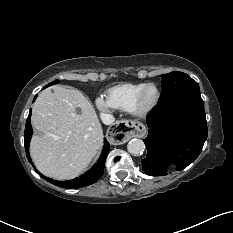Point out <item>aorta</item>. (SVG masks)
Masks as SVG:
<instances>
[{"instance_id":"obj_1","label":"aorta","mask_w":233,"mask_h":233,"mask_svg":"<svg viewBox=\"0 0 233 233\" xmlns=\"http://www.w3.org/2000/svg\"><path fill=\"white\" fill-rule=\"evenodd\" d=\"M127 150L132 155H140L145 150V144L141 139H132L128 145Z\"/></svg>"}]
</instances>
